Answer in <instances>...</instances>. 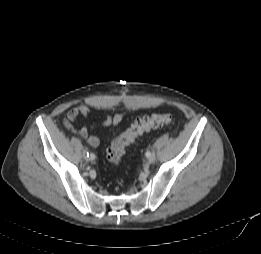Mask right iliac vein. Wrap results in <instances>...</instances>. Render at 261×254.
<instances>
[{
  "label": "right iliac vein",
  "instance_id": "obj_1",
  "mask_svg": "<svg viewBox=\"0 0 261 254\" xmlns=\"http://www.w3.org/2000/svg\"><path fill=\"white\" fill-rule=\"evenodd\" d=\"M83 157L86 158V153H85V151L83 152Z\"/></svg>",
  "mask_w": 261,
  "mask_h": 254
}]
</instances>
